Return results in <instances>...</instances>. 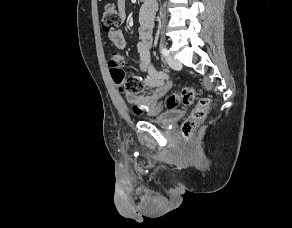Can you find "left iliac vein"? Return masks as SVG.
<instances>
[{
	"label": "left iliac vein",
	"mask_w": 292,
	"mask_h": 228,
	"mask_svg": "<svg viewBox=\"0 0 292 228\" xmlns=\"http://www.w3.org/2000/svg\"><path fill=\"white\" fill-rule=\"evenodd\" d=\"M166 61L168 65L174 70H180L182 68V64L177 59L172 56H167Z\"/></svg>",
	"instance_id": "obj_1"
}]
</instances>
